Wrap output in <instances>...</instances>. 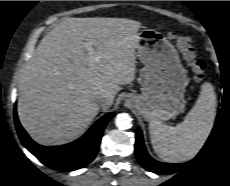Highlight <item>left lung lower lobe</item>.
<instances>
[{"mask_svg":"<svg viewBox=\"0 0 230 186\" xmlns=\"http://www.w3.org/2000/svg\"><path fill=\"white\" fill-rule=\"evenodd\" d=\"M135 153L140 164L148 171L157 174H173L181 170L182 168H187L194 161L182 164H170L162 163L154 160L149 156L144 146L142 132L137 131L136 142H135Z\"/></svg>","mask_w":230,"mask_h":186,"instance_id":"obj_1","label":"left lung lower lobe"}]
</instances>
